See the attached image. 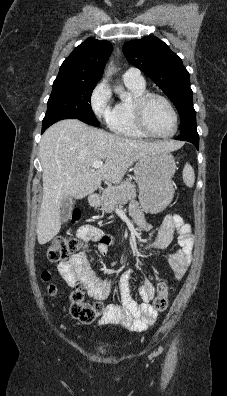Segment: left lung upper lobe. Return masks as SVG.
I'll use <instances>...</instances> for the list:
<instances>
[{"mask_svg":"<svg viewBox=\"0 0 227 396\" xmlns=\"http://www.w3.org/2000/svg\"><path fill=\"white\" fill-rule=\"evenodd\" d=\"M128 61L148 75L173 102L180 114L181 131L196 124L189 73L182 60L157 37L126 42Z\"/></svg>","mask_w":227,"mask_h":396,"instance_id":"left-lung-upper-lobe-1","label":"left lung upper lobe"}]
</instances>
